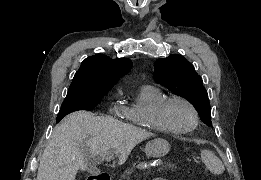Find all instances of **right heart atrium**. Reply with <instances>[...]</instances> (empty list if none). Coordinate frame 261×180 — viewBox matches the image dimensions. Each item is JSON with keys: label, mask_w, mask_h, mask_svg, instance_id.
I'll return each instance as SVG.
<instances>
[{"label": "right heart atrium", "mask_w": 261, "mask_h": 180, "mask_svg": "<svg viewBox=\"0 0 261 180\" xmlns=\"http://www.w3.org/2000/svg\"><path fill=\"white\" fill-rule=\"evenodd\" d=\"M115 114H118V117L121 118V113H120V112H115ZM120 120H121V119H120ZM122 127H123V125H122Z\"/></svg>", "instance_id": "obj_1"}]
</instances>
